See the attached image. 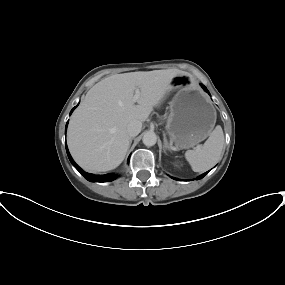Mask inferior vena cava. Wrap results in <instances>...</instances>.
<instances>
[{"label":"inferior vena cava","instance_id":"obj_1","mask_svg":"<svg viewBox=\"0 0 285 285\" xmlns=\"http://www.w3.org/2000/svg\"><path fill=\"white\" fill-rule=\"evenodd\" d=\"M142 129V122L139 120H132L127 125V133L129 136L134 137L137 136Z\"/></svg>","mask_w":285,"mask_h":285}]
</instances>
